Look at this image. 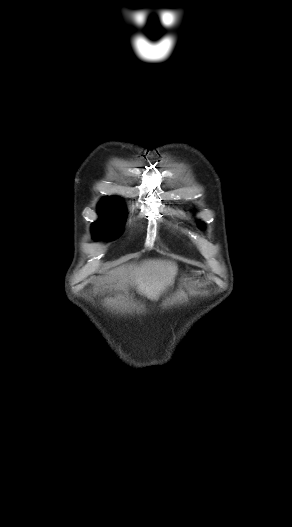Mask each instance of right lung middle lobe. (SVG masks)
<instances>
[{
  "instance_id": "dd1d6c3e",
  "label": "right lung middle lobe",
  "mask_w": 292,
  "mask_h": 527,
  "mask_svg": "<svg viewBox=\"0 0 292 527\" xmlns=\"http://www.w3.org/2000/svg\"><path fill=\"white\" fill-rule=\"evenodd\" d=\"M98 214L101 218L92 226L93 237L96 240L103 239L110 235L111 239L118 237L122 231L126 216L124 207L99 204Z\"/></svg>"
}]
</instances>
